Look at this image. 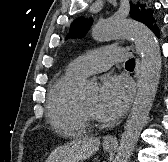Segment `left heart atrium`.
I'll return each mask as SVG.
<instances>
[{
	"mask_svg": "<svg viewBox=\"0 0 168 162\" xmlns=\"http://www.w3.org/2000/svg\"><path fill=\"white\" fill-rule=\"evenodd\" d=\"M132 97V86L122 76L104 77L97 97L96 115L102 120H114L127 109Z\"/></svg>",
	"mask_w": 168,
	"mask_h": 162,
	"instance_id": "1",
	"label": "left heart atrium"
}]
</instances>
